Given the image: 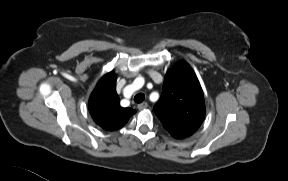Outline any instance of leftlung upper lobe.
Here are the masks:
<instances>
[{
    "mask_svg": "<svg viewBox=\"0 0 288 181\" xmlns=\"http://www.w3.org/2000/svg\"><path fill=\"white\" fill-rule=\"evenodd\" d=\"M154 112L177 139L192 135L200 127L205 116L204 95L188 63L177 64L167 72Z\"/></svg>",
    "mask_w": 288,
    "mask_h": 181,
    "instance_id": "5c2ea615",
    "label": "left lung upper lobe"
}]
</instances>
